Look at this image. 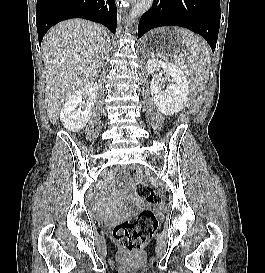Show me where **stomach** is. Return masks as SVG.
I'll list each match as a JSON object with an SVG mask.
<instances>
[{
    "label": "stomach",
    "instance_id": "0dacf381",
    "mask_svg": "<svg viewBox=\"0 0 265 273\" xmlns=\"http://www.w3.org/2000/svg\"><path fill=\"white\" fill-rule=\"evenodd\" d=\"M165 30H151V35H146V40H140L141 49H155L149 51V56H175L177 49V35H183V30H173V25H165Z\"/></svg>",
    "mask_w": 265,
    "mask_h": 273
}]
</instances>
